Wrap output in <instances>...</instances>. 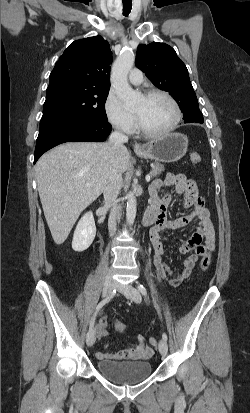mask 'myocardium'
I'll use <instances>...</instances> for the list:
<instances>
[{
    "instance_id": "obj_1",
    "label": "myocardium",
    "mask_w": 250,
    "mask_h": 413,
    "mask_svg": "<svg viewBox=\"0 0 250 413\" xmlns=\"http://www.w3.org/2000/svg\"><path fill=\"white\" fill-rule=\"evenodd\" d=\"M153 96H162L164 98H166L173 106L174 111H175V118L173 123L165 130L163 131H159V132H152L147 130L144 125L142 124L139 116L136 114V119H137V125H138V130L139 132L144 135L145 137L148 138H161L164 136L169 135L170 133H172L179 125L181 119H182V112H181V108L178 104V102L176 101V99L169 94L168 92L164 91V90H160V89H151L145 92L144 97L145 98H151Z\"/></svg>"
}]
</instances>
